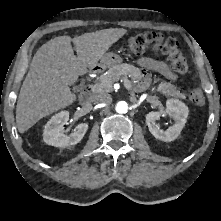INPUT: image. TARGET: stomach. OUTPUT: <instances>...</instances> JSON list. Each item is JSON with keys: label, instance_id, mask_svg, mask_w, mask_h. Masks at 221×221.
<instances>
[{"label": "stomach", "instance_id": "1", "mask_svg": "<svg viewBox=\"0 0 221 221\" xmlns=\"http://www.w3.org/2000/svg\"><path fill=\"white\" fill-rule=\"evenodd\" d=\"M122 62V58L113 52H109L103 55L100 61L101 68H109L113 66H117Z\"/></svg>", "mask_w": 221, "mask_h": 221}]
</instances>
